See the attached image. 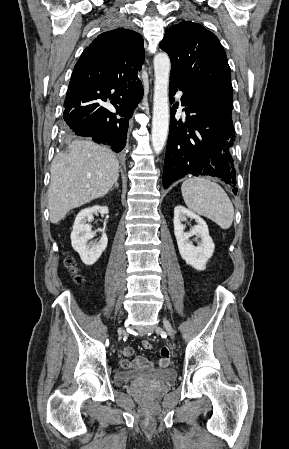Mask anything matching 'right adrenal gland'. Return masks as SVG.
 <instances>
[{
	"mask_svg": "<svg viewBox=\"0 0 289 449\" xmlns=\"http://www.w3.org/2000/svg\"><path fill=\"white\" fill-rule=\"evenodd\" d=\"M114 188H119V184L117 181L114 183V187H112L111 190H113Z\"/></svg>",
	"mask_w": 289,
	"mask_h": 449,
	"instance_id": "obj_1",
	"label": "right adrenal gland"
}]
</instances>
